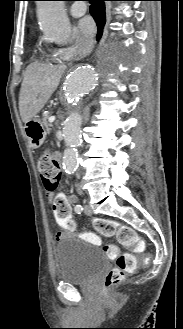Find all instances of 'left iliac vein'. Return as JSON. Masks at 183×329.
<instances>
[{
  "label": "left iliac vein",
  "instance_id": "obj_1",
  "mask_svg": "<svg viewBox=\"0 0 183 329\" xmlns=\"http://www.w3.org/2000/svg\"><path fill=\"white\" fill-rule=\"evenodd\" d=\"M84 213L88 216H91L93 214L92 208L89 204L84 205Z\"/></svg>",
  "mask_w": 183,
  "mask_h": 329
}]
</instances>
